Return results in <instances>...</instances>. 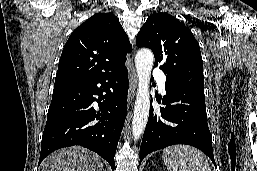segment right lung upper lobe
Returning a JSON list of instances; mask_svg holds the SVG:
<instances>
[{
	"label": "right lung upper lobe",
	"instance_id": "right-lung-upper-lobe-1",
	"mask_svg": "<svg viewBox=\"0 0 257 171\" xmlns=\"http://www.w3.org/2000/svg\"><path fill=\"white\" fill-rule=\"evenodd\" d=\"M131 48L114 14H95L71 33L61 54L55 84L111 72L125 64Z\"/></svg>",
	"mask_w": 257,
	"mask_h": 171
}]
</instances>
